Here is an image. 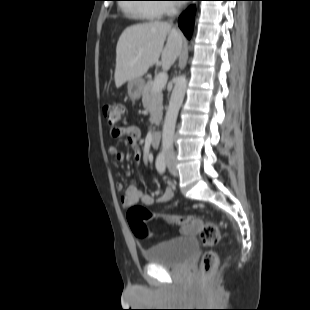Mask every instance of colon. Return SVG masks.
<instances>
[{
	"label": "colon",
	"mask_w": 310,
	"mask_h": 310,
	"mask_svg": "<svg viewBox=\"0 0 310 310\" xmlns=\"http://www.w3.org/2000/svg\"><path fill=\"white\" fill-rule=\"evenodd\" d=\"M103 114L107 123L112 128H118L125 114V107L120 103L107 104L103 107ZM151 219H157L166 223L180 224L188 227L192 232L198 230L203 245L210 248L205 251L202 256V275L208 276L213 273L217 265L218 256L212 248L215 247L220 240V231L215 223L198 217L153 214L144 206L137 204L130 206L127 211L128 224L132 232L139 238H148L150 236L146 222Z\"/></svg>",
	"instance_id": "1"
}]
</instances>
